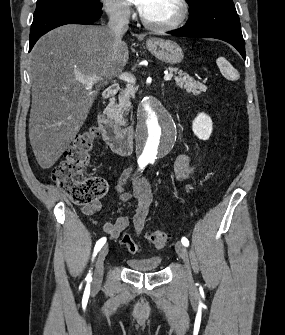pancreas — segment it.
<instances>
[{
  "label": "pancreas",
  "mask_w": 285,
  "mask_h": 335,
  "mask_svg": "<svg viewBox=\"0 0 285 335\" xmlns=\"http://www.w3.org/2000/svg\"><path fill=\"white\" fill-rule=\"evenodd\" d=\"M169 72H176V74H178V76H174L176 86H179L182 90H186V92H192L193 96H199L201 92H206L207 88L204 84L196 82L194 78H191L189 74L182 72L179 68H169ZM134 94H136V90L133 86L125 88L122 92V96L119 98V106H115V112H110L108 117L115 119L121 126H125L126 120H124L123 116H125L126 112L131 108V102H129V100Z\"/></svg>",
  "instance_id": "pancreas-1"
}]
</instances>
